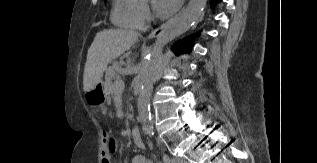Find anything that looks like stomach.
Returning a JSON list of instances; mask_svg holds the SVG:
<instances>
[{
  "label": "stomach",
  "instance_id": "1",
  "mask_svg": "<svg viewBox=\"0 0 317 163\" xmlns=\"http://www.w3.org/2000/svg\"><path fill=\"white\" fill-rule=\"evenodd\" d=\"M85 100L90 106H103L108 100L104 84L100 82L92 90L86 92Z\"/></svg>",
  "mask_w": 317,
  "mask_h": 163
}]
</instances>
